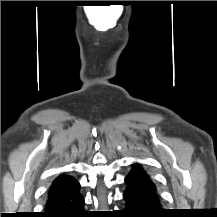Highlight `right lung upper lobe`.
Returning <instances> with one entry per match:
<instances>
[{
    "label": "right lung upper lobe",
    "instance_id": "right-lung-upper-lobe-1",
    "mask_svg": "<svg viewBox=\"0 0 217 217\" xmlns=\"http://www.w3.org/2000/svg\"><path fill=\"white\" fill-rule=\"evenodd\" d=\"M78 186L80 185L73 177L67 175H60L52 183L48 191V197H53L69 192Z\"/></svg>",
    "mask_w": 217,
    "mask_h": 217
}]
</instances>
